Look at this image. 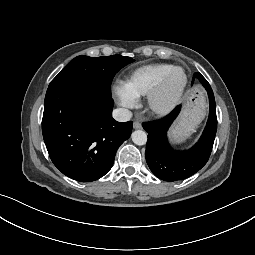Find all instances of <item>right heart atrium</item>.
Returning <instances> with one entry per match:
<instances>
[{
    "instance_id": "d8ad5b80",
    "label": "right heart atrium",
    "mask_w": 255,
    "mask_h": 255,
    "mask_svg": "<svg viewBox=\"0 0 255 255\" xmlns=\"http://www.w3.org/2000/svg\"><path fill=\"white\" fill-rule=\"evenodd\" d=\"M115 96L117 97L120 105L125 108H132L137 104L138 96L135 95L127 85L122 81H117L113 87Z\"/></svg>"
}]
</instances>
